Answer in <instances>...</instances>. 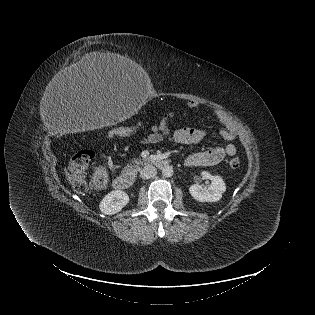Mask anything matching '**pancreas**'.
Instances as JSON below:
<instances>
[{
  "instance_id": "pancreas-1",
  "label": "pancreas",
  "mask_w": 315,
  "mask_h": 315,
  "mask_svg": "<svg viewBox=\"0 0 315 315\" xmlns=\"http://www.w3.org/2000/svg\"><path fill=\"white\" fill-rule=\"evenodd\" d=\"M135 163H136V164H132V163L128 164V165H127V169H139V164H140V162L135 161Z\"/></svg>"
}]
</instances>
